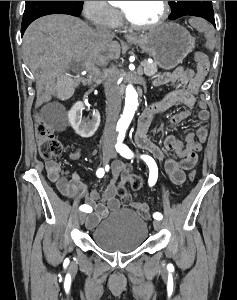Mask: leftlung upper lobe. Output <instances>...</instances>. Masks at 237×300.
<instances>
[{
	"label": "left lung upper lobe",
	"mask_w": 237,
	"mask_h": 300,
	"mask_svg": "<svg viewBox=\"0 0 237 300\" xmlns=\"http://www.w3.org/2000/svg\"><path fill=\"white\" fill-rule=\"evenodd\" d=\"M172 7L171 20L182 16L206 18L214 16L211 1H169Z\"/></svg>",
	"instance_id": "1"
}]
</instances>
